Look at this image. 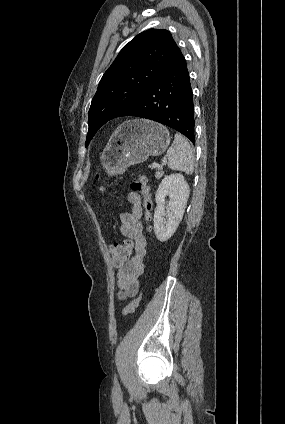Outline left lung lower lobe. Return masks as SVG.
Wrapping results in <instances>:
<instances>
[{
	"label": "left lung lower lobe",
	"mask_w": 285,
	"mask_h": 424,
	"mask_svg": "<svg viewBox=\"0 0 285 424\" xmlns=\"http://www.w3.org/2000/svg\"><path fill=\"white\" fill-rule=\"evenodd\" d=\"M122 116L159 122L194 143L193 93L185 58L177 46L157 79L116 117Z\"/></svg>",
	"instance_id": "0a47b994"
}]
</instances>
